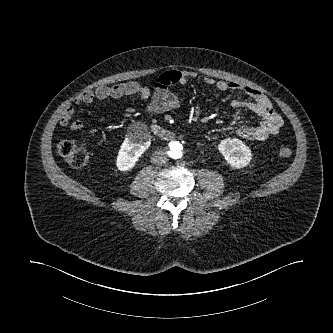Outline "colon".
<instances>
[{
	"label": "colon",
	"instance_id": "5ec220e1",
	"mask_svg": "<svg viewBox=\"0 0 333 333\" xmlns=\"http://www.w3.org/2000/svg\"><path fill=\"white\" fill-rule=\"evenodd\" d=\"M58 152L65 163L72 168H82L90 161L89 151L71 140H63L57 146ZM292 150L289 147H281L278 150L280 158H289Z\"/></svg>",
	"mask_w": 333,
	"mask_h": 333
}]
</instances>
